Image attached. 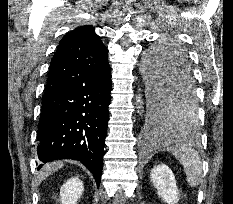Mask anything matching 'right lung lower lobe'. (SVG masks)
Instances as JSON below:
<instances>
[{"label": "right lung lower lobe", "mask_w": 233, "mask_h": 204, "mask_svg": "<svg viewBox=\"0 0 233 204\" xmlns=\"http://www.w3.org/2000/svg\"><path fill=\"white\" fill-rule=\"evenodd\" d=\"M110 91L108 64L45 92L41 117L48 122L37 133L39 160L44 163L57 159L79 160L92 172L99 186Z\"/></svg>", "instance_id": "98d812e1"}]
</instances>
